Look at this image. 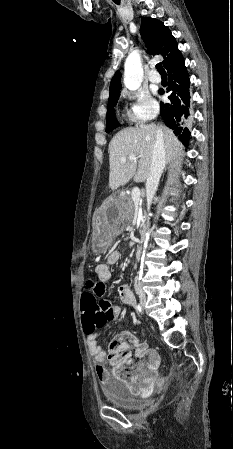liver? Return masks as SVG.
<instances>
[{
  "mask_svg": "<svg viewBox=\"0 0 233 449\" xmlns=\"http://www.w3.org/2000/svg\"><path fill=\"white\" fill-rule=\"evenodd\" d=\"M158 133L163 134L164 147L169 160H178L184 155L183 146L165 125L140 124L118 132L109 143V187L116 190L134 177L137 182L147 180L152 160L153 146ZM135 154L139 161L130 160ZM126 158L125 163L121 159Z\"/></svg>",
  "mask_w": 233,
  "mask_h": 449,
  "instance_id": "liver-1",
  "label": "liver"
}]
</instances>
